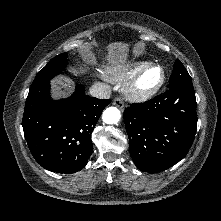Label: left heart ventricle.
<instances>
[{
    "label": "left heart ventricle",
    "instance_id": "obj_1",
    "mask_svg": "<svg viewBox=\"0 0 221 221\" xmlns=\"http://www.w3.org/2000/svg\"><path fill=\"white\" fill-rule=\"evenodd\" d=\"M159 78H160V71H159V69L155 68V69L150 70L145 75V77L143 79V83L145 85H153L158 82Z\"/></svg>",
    "mask_w": 221,
    "mask_h": 221
}]
</instances>
